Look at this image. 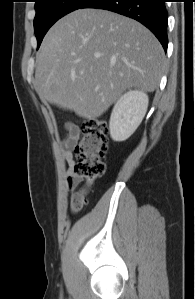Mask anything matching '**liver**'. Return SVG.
<instances>
[{
	"label": "liver",
	"mask_w": 195,
	"mask_h": 299,
	"mask_svg": "<svg viewBox=\"0 0 195 299\" xmlns=\"http://www.w3.org/2000/svg\"><path fill=\"white\" fill-rule=\"evenodd\" d=\"M163 48L142 24L101 9H78L57 21L37 55L39 96L79 117H100L127 89L153 92Z\"/></svg>",
	"instance_id": "liver-1"
}]
</instances>
